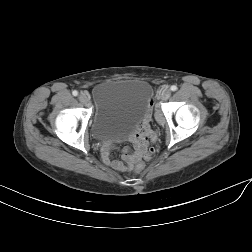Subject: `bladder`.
<instances>
[{"mask_svg":"<svg viewBox=\"0 0 252 252\" xmlns=\"http://www.w3.org/2000/svg\"><path fill=\"white\" fill-rule=\"evenodd\" d=\"M92 134L100 142H118L151 114V93L143 80H108L92 92Z\"/></svg>","mask_w":252,"mask_h":252,"instance_id":"bladder-1","label":"bladder"}]
</instances>
